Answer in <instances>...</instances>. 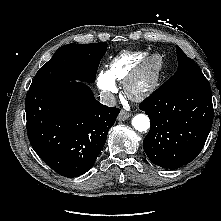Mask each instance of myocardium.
<instances>
[{"label": "myocardium", "mask_w": 221, "mask_h": 221, "mask_svg": "<svg viewBox=\"0 0 221 221\" xmlns=\"http://www.w3.org/2000/svg\"><path fill=\"white\" fill-rule=\"evenodd\" d=\"M164 59L159 53L146 55L124 80V91L132 100H142L152 94L159 85ZM151 73L150 80L141 88L136 84L145 73Z\"/></svg>", "instance_id": "1"}]
</instances>
